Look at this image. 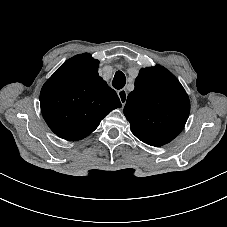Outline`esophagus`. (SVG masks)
Segmentation results:
<instances>
[{
	"label": "esophagus",
	"mask_w": 227,
	"mask_h": 227,
	"mask_svg": "<svg viewBox=\"0 0 227 227\" xmlns=\"http://www.w3.org/2000/svg\"><path fill=\"white\" fill-rule=\"evenodd\" d=\"M118 97L120 99V102L122 104V108L125 106L127 101V91L125 89H121L117 91Z\"/></svg>",
	"instance_id": "obj_1"
}]
</instances>
